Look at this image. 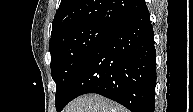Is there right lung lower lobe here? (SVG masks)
Masks as SVG:
<instances>
[{
	"label": "right lung lower lobe",
	"mask_w": 193,
	"mask_h": 112,
	"mask_svg": "<svg viewBox=\"0 0 193 112\" xmlns=\"http://www.w3.org/2000/svg\"><path fill=\"white\" fill-rule=\"evenodd\" d=\"M147 6L113 28L88 55L59 112L74 98L97 93L132 112H154L156 51Z\"/></svg>",
	"instance_id": "98d812e1"
}]
</instances>
